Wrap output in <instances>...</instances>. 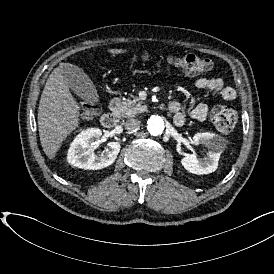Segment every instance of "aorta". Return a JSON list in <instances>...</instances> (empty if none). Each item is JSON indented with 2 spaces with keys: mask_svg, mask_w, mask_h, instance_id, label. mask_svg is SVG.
Segmentation results:
<instances>
[{
  "mask_svg": "<svg viewBox=\"0 0 274 274\" xmlns=\"http://www.w3.org/2000/svg\"><path fill=\"white\" fill-rule=\"evenodd\" d=\"M165 128L164 120L161 116L152 115L147 122V129L151 135L157 136L162 134Z\"/></svg>",
  "mask_w": 274,
  "mask_h": 274,
  "instance_id": "762f6f07",
  "label": "aorta"
}]
</instances>
